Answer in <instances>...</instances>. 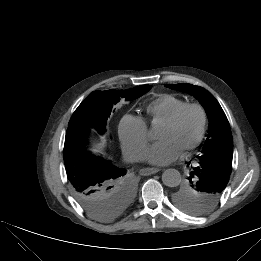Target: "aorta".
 Returning <instances> with one entry per match:
<instances>
[{"instance_id":"aorta-1","label":"aorta","mask_w":261,"mask_h":261,"mask_svg":"<svg viewBox=\"0 0 261 261\" xmlns=\"http://www.w3.org/2000/svg\"><path fill=\"white\" fill-rule=\"evenodd\" d=\"M162 182L168 187H176L181 182L180 172L176 169H166L162 174Z\"/></svg>"}]
</instances>
